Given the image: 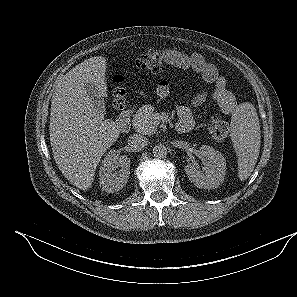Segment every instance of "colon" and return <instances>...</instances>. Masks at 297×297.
<instances>
[{"mask_svg":"<svg viewBox=\"0 0 297 297\" xmlns=\"http://www.w3.org/2000/svg\"><path fill=\"white\" fill-rule=\"evenodd\" d=\"M136 66L152 73H162L165 69L163 53L157 50L147 51L136 58ZM125 93V88L121 82L113 85L111 90L113 102L119 108L125 103ZM208 131L214 139L224 140L229 134V126L221 116L214 115L208 122Z\"/></svg>","mask_w":297,"mask_h":297,"instance_id":"colon-1","label":"colon"}]
</instances>
